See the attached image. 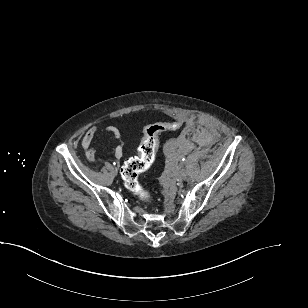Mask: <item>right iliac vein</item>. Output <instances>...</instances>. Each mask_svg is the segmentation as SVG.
<instances>
[{
  "instance_id": "obj_1",
  "label": "right iliac vein",
  "mask_w": 308,
  "mask_h": 308,
  "mask_svg": "<svg viewBox=\"0 0 308 308\" xmlns=\"http://www.w3.org/2000/svg\"><path fill=\"white\" fill-rule=\"evenodd\" d=\"M114 172L117 174V172H118L117 167L114 168Z\"/></svg>"
}]
</instances>
